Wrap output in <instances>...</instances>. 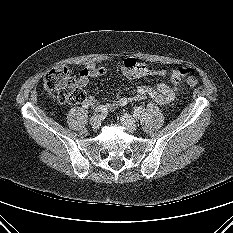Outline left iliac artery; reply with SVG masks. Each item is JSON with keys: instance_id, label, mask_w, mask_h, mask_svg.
<instances>
[{"instance_id": "left-iliac-artery-1", "label": "left iliac artery", "mask_w": 233, "mask_h": 233, "mask_svg": "<svg viewBox=\"0 0 233 233\" xmlns=\"http://www.w3.org/2000/svg\"><path fill=\"white\" fill-rule=\"evenodd\" d=\"M143 107L142 106H139V107H136L135 110H134V117L137 118L139 116L140 113L143 112Z\"/></svg>"}]
</instances>
